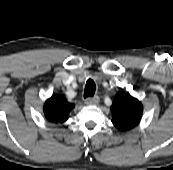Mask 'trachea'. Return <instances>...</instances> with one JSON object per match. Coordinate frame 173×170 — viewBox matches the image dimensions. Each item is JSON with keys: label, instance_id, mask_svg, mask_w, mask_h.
I'll return each mask as SVG.
<instances>
[{"label": "trachea", "instance_id": "1", "mask_svg": "<svg viewBox=\"0 0 173 170\" xmlns=\"http://www.w3.org/2000/svg\"><path fill=\"white\" fill-rule=\"evenodd\" d=\"M95 82L92 79H88L85 85L84 98L92 97L95 92Z\"/></svg>", "mask_w": 173, "mask_h": 170}]
</instances>
